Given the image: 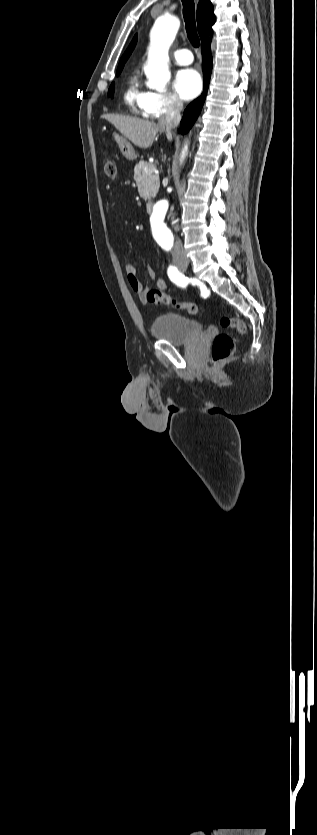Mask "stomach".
<instances>
[{
  "instance_id": "stomach-1",
  "label": "stomach",
  "mask_w": 317,
  "mask_h": 835,
  "mask_svg": "<svg viewBox=\"0 0 317 835\" xmlns=\"http://www.w3.org/2000/svg\"><path fill=\"white\" fill-rule=\"evenodd\" d=\"M112 136L114 141L118 144L121 153L127 160H135L137 158L133 146L126 138L116 131L113 132Z\"/></svg>"
}]
</instances>
